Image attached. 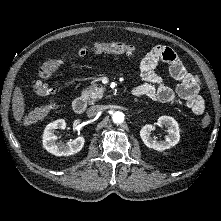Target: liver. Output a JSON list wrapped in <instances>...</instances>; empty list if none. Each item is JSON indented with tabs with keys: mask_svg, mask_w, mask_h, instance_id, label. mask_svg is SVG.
<instances>
[{
	"mask_svg": "<svg viewBox=\"0 0 221 221\" xmlns=\"http://www.w3.org/2000/svg\"><path fill=\"white\" fill-rule=\"evenodd\" d=\"M24 98L20 87H16L12 98V110L14 118L17 122H20L24 115Z\"/></svg>",
	"mask_w": 221,
	"mask_h": 221,
	"instance_id": "1",
	"label": "liver"
}]
</instances>
